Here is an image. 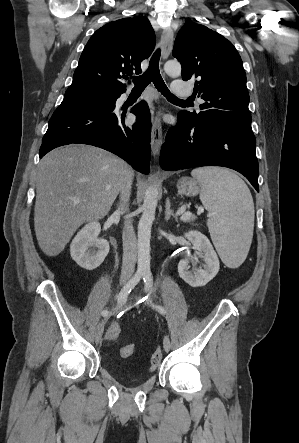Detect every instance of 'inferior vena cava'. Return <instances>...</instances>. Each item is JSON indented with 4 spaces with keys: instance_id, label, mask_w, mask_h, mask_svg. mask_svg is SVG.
<instances>
[{
    "instance_id": "1",
    "label": "inferior vena cava",
    "mask_w": 299,
    "mask_h": 443,
    "mask_svg": "<svg viewBox=\"0 0 299 443\" xmlns=\"http://www.w3.org/2000/svg\"><path fill=\"white\" fill-rule=\"evenodd\" d=\"M131 179L127 180L120 190V206L118 211L125 213L128 211V201L131 191ZM123 262L121 276H130L135 271L136 256H137V240L132 225L131 219H126L123 228Z\"/></svg>"
}]
</instances>
